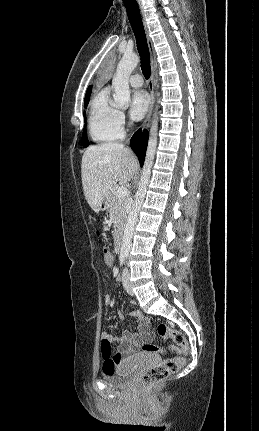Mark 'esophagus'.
I'll return each instance as SVG.
<instances>
[{
  "instance_id": "34e87169",
  "label": "esophagus",
  "mask_w": 259,
  "mask_h": 431,
  "mask_svg": "<svg viewBox=\"0 0 259 431\" xmlns=\"http://www.w3.org/2000/svg\"><path fill=\"white\" fill-rule=\"evenodd\" d=\"M138 3H139L142 21H143V25H144V29H145V33H146L147 44H148L149 53H150V63H151V75H150V79L148 82V87H149V91H150V103H149V108H148L146 118H145L143 125H142V129H145L150 125L151 115L153 112L154 98H155V93H154L155 73H156L157 61H156V54H155V50L153 47V43H152V40L149 36L147 23H146V20L144 18L143 8L140 4V0H138Z\"/></svg>"
}]
</instances>
